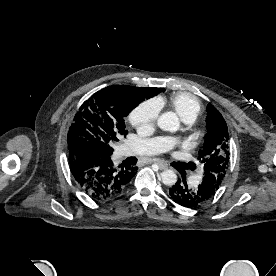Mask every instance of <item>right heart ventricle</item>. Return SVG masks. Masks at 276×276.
Segmentation results:
<instances>
[{"label":"right heart ventricle","mask_w":276,"mask_h":276,"mask_svg":"<svg viewBox=\"0 0 276 276\" xmlns=\"http://www.w3.org/2000/svg\"><path fill=\"white\" fill-rule=\"evenodd\" d=\"M169 103L184 121H194L201 113L200 102L186 93H178L172 96Z\"/></svg>","instance_id":"1"}]
</instances>
